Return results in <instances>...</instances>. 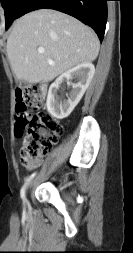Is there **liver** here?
Instances as JSON below:
<instances>
[{
	"instance_id": "liver-1",
	"label": "liver",
	"mask_w": 133,
	"mask_h": 253,
	"mask_svg": "<svg viewBox=\"0 0 133 253\" xmlns=\"http://www.w3.org/2000/svg\"><path fill=\"white\" fill-rule=\"evenodd\" d=\"M39 47L45 52L38 53ZM99 49L98 37L90 27L50 9L17 19L7 40V55L16 79L34 84L51 81L80 63L94 61Z\"/></svg>"
}]
</instances>
